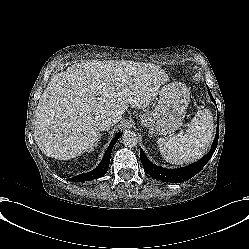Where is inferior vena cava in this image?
<instances>
[{
    "label": "inferior vena cava",
    "mask_w": 249,
    "mask_h": 249,
    "mask_svg": "<svg viewBox=\"0 0 249 249\" xmlns=\"http://www.w3.org/2000/svg\"><path fill=\"white\" fill-rule=\"evenodd\" d=\"M118 120L114 116L105 118L101 123L102 130H108L111 128Z\"/></svg>",
    "instance_id": "602c4592"
}]
</instances>
